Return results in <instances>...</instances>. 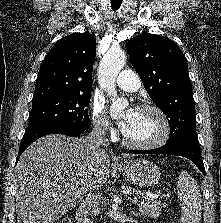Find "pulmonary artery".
Here are the masks:
<instances>
[{"label":"pulmonary artery","instance_id":"1","mask_svg":"<svg viewBox=\"0 0 221 223\" xmlns=\"http://www.w3.org/2000/svg\"><path fill=\"white\" fill-rule=\"evenodd\" d=\"M116 82L121 89L128 92H135L141 86L139 76L131 70L121 71L117 77Z\"/></svg>","mask_w":221,"mask_h":223}]
</instances>
